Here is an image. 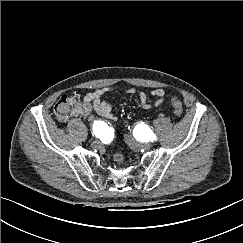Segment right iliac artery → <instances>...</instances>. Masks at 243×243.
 <instances>
[{
  "label": "right iliac artery",
  "instance_id": "1",
  "mask_svg": "<svg viewBox=\"0 0 243 243\" xmlns=\"http://www.w3.org/2000/svg\"><path fill=\"white\" fill-rule=\"evenodd\" d=\"M106 128V124L104 123H95L93 126V132L96 135V137H100L102 135V131Z\"/></svg>",
  "mask_w": 243,
  "mask_h": 243
}]
</instances>
